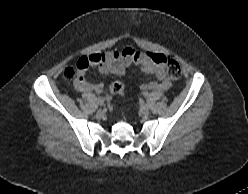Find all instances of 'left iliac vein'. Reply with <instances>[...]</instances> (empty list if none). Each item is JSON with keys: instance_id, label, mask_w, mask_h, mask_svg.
<instances>
[{"instance_id": "obj_1", "label": "left iliac vein", "mask_w": 248, "mask_h": 194, "mask_svg": "<svg viewBox=\"0 0 248 194\" xmlns=\"http://www.w3.org/2000/svg\"><path fill=\"white\" fill-rule=\"evenodd\" d=\"M140 111L142 114H148L149 112V106L147 104H143L140 108Z\"/></svg>"}]
</instances>
